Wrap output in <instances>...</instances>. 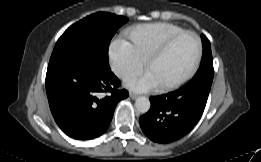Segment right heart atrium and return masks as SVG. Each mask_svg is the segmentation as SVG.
I'll list each match as a JSON object with an SVG mask.
<instances>
[{
	"label": "right heart atrium",
	"mask_w": 261,
	"mask_h": 162,
	"mask_svg": "<svg viewBox=\"0 0 261 162\" xmlns=\"http://www.w3.org/2000/svg\"><path fill=\"white\" fill-rule=\"evenodd\" d=\"M109 62L113 72L124 80L137 75L145 65V59L123 38H117L111 43Z\"/></svg>",
	"instance_id": "obj_1"
}]
</instances>
